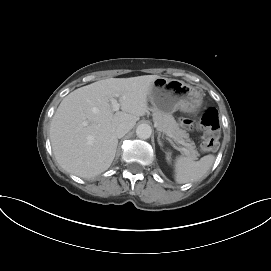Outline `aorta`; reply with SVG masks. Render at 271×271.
Returning a JSON list of instances; mask_svg holds the SVG:
<instances>
[{"mask_svg": "<svg viewBox=\"0 0 271 271\" xmlns=\"http://www.w3.org/2000/svg\"><path fill=\"white\" fill-rule=\"evenodd\" d=\"M152 134L151 126L148 124H140L136 129V135L140 139H148Z\"/></svg>", "mask_w": 271, "mask_h": 271, "instance_id": "aorta-1", "label": "aorta"}]
</instances>
